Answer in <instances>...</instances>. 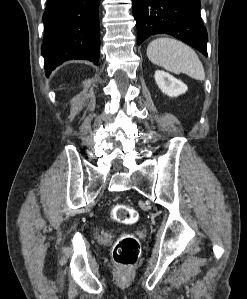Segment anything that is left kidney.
Instances as JSON below:
<instances>
[{
	"instance_id": "5707ae66",
	"label": "left kidney",
	"mask_w": 247,
	"mask_h": 299,
	"mask_svg": "<svg viewBox=\"0 0 247 299\" xmlns=\"http://www.w3.org/2000/svg\"><path fill=\"white\" fill-rule=\"evenodd\" d=\"M154 76L159 89L169 97H177L184 94L188 89L182 81L165 71L156 70Z\"/></svg>"
}]
</instances>
